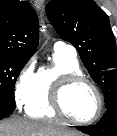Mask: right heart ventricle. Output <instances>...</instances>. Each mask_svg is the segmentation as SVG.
<instances>
[{
    "label": "right heart ventricle",
    "instance_id": "right-heart-ventricle-1",
    "mask_svg": "<svg viewBox=\"0 0 117 136\" xmlns=\"http://www.w3.org/2000/svg\"><path fill=\"white\" fill-rule=\"evenodd\" d=\"M67 73H79L81 69L77 58L55 52L54 64L38 71L36 93L26 105L27 115L33 118H52L56 113L50 104V95L56 80Z\"/></svg>",
    "mask_w": 117,
    "mask_h": 136
}]
</instances>
